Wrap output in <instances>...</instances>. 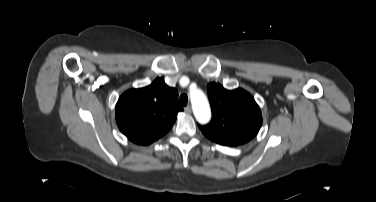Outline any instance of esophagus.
Instances as JSON below:
<instances>
[{"mask_svg": "<svg viewBox=\"0 0 376 202\" xmlns=\"http://www.w3.org/2000/svg\"><path fill=\"white\" fill-rule=\"evenodd\" d=\"M184 110H185V112L187 113V114H190L191 113V106H186L185 108H184Z\"/></svg>", "mask_w": 376, "mask_h": 202, "instance_id": "obj_1", "label": "esophagus"}]
</instances>
